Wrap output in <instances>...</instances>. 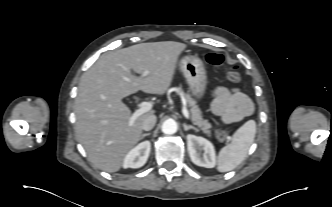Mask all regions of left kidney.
Listing matches in <instances>:
<instances>
[{
	"label": "left kidney",
	"mask_w": 332,
	"mask_h": 207,
	"mask_svg": "<svg viewBox=\"0 0 332 207\" xmlns=\"http://www.w3.org/2000/svg\"><path fill=\"white\" fill-rule=\"evenodd\" d=\"M187 147L191 161L198 166L213 168L216 154L213 144L207 139L192 134L187 135Z\"/></svg>",
	"instance_id": "left-kidney-1"
}]
</instances>
